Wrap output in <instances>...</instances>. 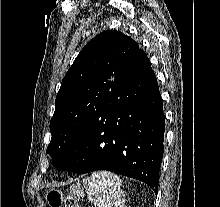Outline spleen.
I'll use <instances>...</instances> for the list:
<instances>
[{
    "label": "spleen",
    "instance_id": "1",
    "mask_svg": "<svg viewBox=\"0 0 220 207\" xmlns=\"http://www.w3.org/2000/svg\"><path fill=\"white\" fill-rule=\"evenodd\" d=\"M83 184L95 207H124V192L118 175L108 171L94 172L83 179Z\"/></svg>",
    "mask_w": 220,
    "mask_h": 207
}]
</instances>
